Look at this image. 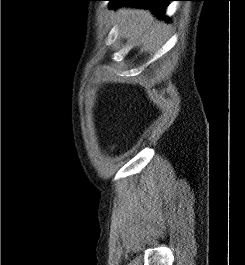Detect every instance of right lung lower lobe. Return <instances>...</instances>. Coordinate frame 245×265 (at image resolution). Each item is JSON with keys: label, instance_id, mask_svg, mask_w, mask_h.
<instances>
[{"label": "right lung lower lobe", "instance_id": "1", "mask_svg": "<svg viewBox=\"0 0 245 265\" xmlns=\"http://www.w3.org/2000/svg\"><path fill=\"white\" fill-rule=\"evenodd\" d=\"M110 8H114L119 5L127 4L139 7H145L151 9L157 16L164 17L166 21L168 18L164 16L167 4L171 0H109Z\"/></svg>", "mask_w": 245, "mask_h": 265}]
</instances>
